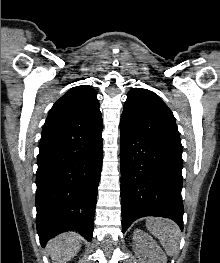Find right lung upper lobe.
<instances>
[{
	"mask_svg": "<svg viewBox=\"0 0 220 263\" xmlns=\"http://www.w3.org/2000/svg\"><path fill=\"white\" fill-rule=\"evenodd\" d=\"M97 92L89 86L69 90L50 109L41 139L83 137L102 128Z\"/></svg>",
	"mask_w": 220,
	"mask_h": 263,
	"instance_id": "right-lung-upper-lobe-1",
	"label": "right lung upper lobe"
}]
</instances>
